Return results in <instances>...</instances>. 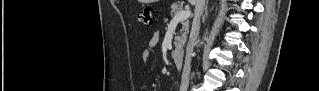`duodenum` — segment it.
Returning <instances> with one entry per match:
<instances>
[{
	"label": "duodenum",
	"instance_id": "duodenum-1",
	"mask_svg": "<svg viewBox=\"0 0 319 91\" xmlns=\"http://www.w3.org/2000/svg\"><path fill=\"white\" fill-rule=\"evenodd\" d=\"M173 60L178 68H182L183 66V52L175 51L173 52Z\"/></svg>",
	"mask_w": 319,
	"mask_h": 91
}]
</instances>
